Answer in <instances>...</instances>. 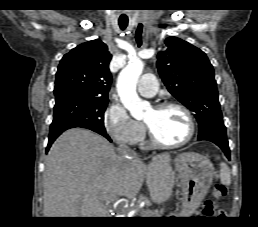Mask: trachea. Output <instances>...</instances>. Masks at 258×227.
<instances>
[{
	"instance_id": "trachea-1",
	"label": "trachea",
	"mask_w": 258,
	"mask_h": 227,
	"mask_svg": "<svg viewBox=\"0 0 258 227\" xmlns=\"http://www.w3.org/2000/svg\"><path fill=\"white\" fill-rule=\"evenodd\" d=\"M127 25H128V20H122V19L119 20V26L122 30H125Z\"/></svg>"
}]
</instances>
